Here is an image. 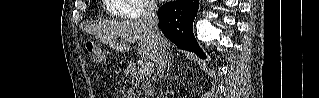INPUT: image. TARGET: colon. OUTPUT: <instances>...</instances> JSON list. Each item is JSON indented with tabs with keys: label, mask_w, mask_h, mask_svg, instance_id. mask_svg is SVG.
<instances>
[{
	"label": "colon",
	"mask_w": 319,
	"mask_h": 98,
	"mask_svg": "<svg viewBox=\"0 0 319 98\" xmlns=\"http://www.w3.org/2000/svg\"><path fill=\"white\" fill-rule=\"evenodd\" d=\"M86 51L92 62L96 64H102L105 61L103 52L101 49L91 40H87L85 43Z\"/></svg>",
	"instance_id": "obj_1"
}]
</instances>
